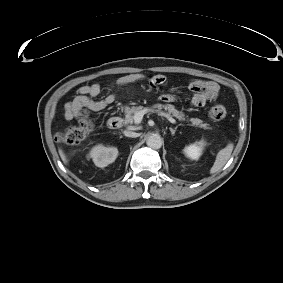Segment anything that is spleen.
Masks as SVG:
<instances>
[{"label": "spleen", "mask_w": 283, "mask_h": 283, "mask_svg": "<svg viewBox=\"0 0 283 283\" xmlns=\"http://www.w3.org/2000/svg\"><path fill=\"white\" fill-rule=\"evenodd\" d=\"M233 148H234L233 143H229L225 148L221 149L217 153L215 162L210 169L211 174L219 171L227 163V161L229 160L232 154Z\"/></svg>", "instance_id": "3e777b00"}]
</instances>
